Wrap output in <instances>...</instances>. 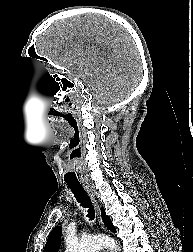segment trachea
I'll use <instances>...</instances> for the list:
<instances>
[{
	"label": "trachea",
	"mask_w": 193,
	"mask_h": 252,
	"mask_svg": "<svg viewBox=\"0 0 193 252\" xmlns=\"http://www.w3.org/2000/svg\"><path fill=\"white\" fill-rule=\"evenodd\" d=\"M67 185L70 188V190L72 191V193L74 194V197L76 198L77 202L80 203V206L88 209L87 217L90 220H93L94 219V209H93L92 203H91L87 193L83 189L82 185L81 184H72V183H67Z\"/></svg>",
	"instance_id": "3493384b"
}]
</instances>
